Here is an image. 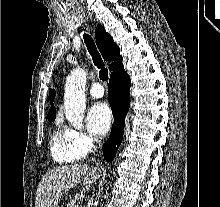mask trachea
I'll return each mask as SVG.
<instances>
[{
  "instance_id": "1",
  "label": "trachea",
  "mask_w": 220,
  "mask_h": 207,
  "mask_svg": "<svg viewBox=\"0 0 220 207\" xmlns=\"http://www.w3.org/2000/svg\"><path fill=\"white\" fill-rule=\"evenodd\" d=\"M84 40L87 46V49L89 51V53L92 56L94 65L99 68V78L102 81H107L108 79V70L104 67V63L103 60L99 54V52L97 51V48L95 46V43L92 39V37L88 34H84Z\"/></svg>"
}]
</instances>
